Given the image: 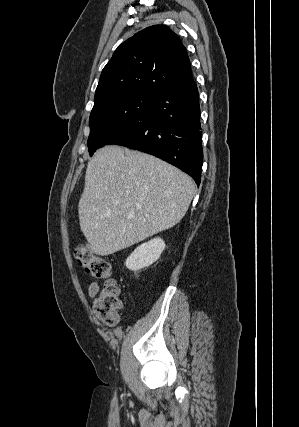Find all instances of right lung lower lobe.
<instances>
[{"label": "right lung lower lobe", "instance_id": "1", "mask_svg": "<svg viewBox=\"0 0 299 427\" xmlns=\"http://www.w3.org/2000/svg\"><path fill=\"white\" fill-rule=\"evenodd\" d=\"M109 144L159 157L189 174L199 185L203 151L196 83L191 81L158 94Z\"/></svg>", "mask_w": 299, "mask_h": 427}]
</instances>
